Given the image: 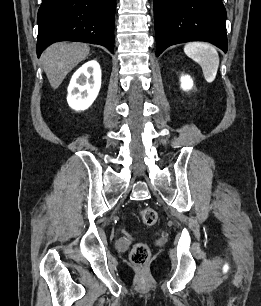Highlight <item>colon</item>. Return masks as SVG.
<instances>
[{"label":"colon","mask_w":261,"mask_h":306,"mask_svg":"<svg viewBox=\"0 0 261 306\" xmlns=\"http://www.w3.org/2000/svg\"><path fill=\"white\" fill-rule=\"evenodd\" d=\"M139 217L144 225L151 227L157 223L158 214L151 207L140 210ZM150 251L145 243H137L131 251V260L135 265L143 266L149 259Z\"/></svg>","instance_id":"colon-1"}]
</instances>
